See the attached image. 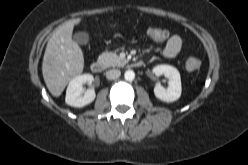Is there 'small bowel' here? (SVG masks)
<instances>
[{
    "mask_svg": "<svg viewBox=\"0 0 248 165\" xmlns=\"http://www.w3.org/2000/svg\"><path fill=\"white\" fill-rule=\"evenodd\" d=\"M182 46V38L178 35H172L166 40L163 55L166 58H175L180 53Z\"/></svg>",
    "mask_w": 248,
    "mask_h": 165,
    "instance_id": "small-bowel-1",
    "label": "small bowel"
}]
</instances>
